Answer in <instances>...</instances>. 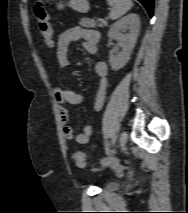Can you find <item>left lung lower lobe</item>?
Wrapping results in <instances>:
<instances>
[{"mask_svg": "<svg viewBox=\"0 0 188 213\" xmlns=\"http://www.w3.org/2000/svg\"><path fill=\"white\" fill-rule=\"evenodd\" d=\"M138 1L143 4V6L147 9L149 15L152 17L154 0H138Z\"/></svg>", "mask_w": 188, "mask_h": 213, "instance_id": "obj_1", "label": "left lung lower lobe"}]
</instances>
